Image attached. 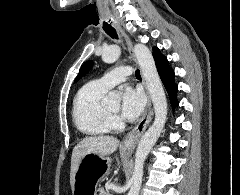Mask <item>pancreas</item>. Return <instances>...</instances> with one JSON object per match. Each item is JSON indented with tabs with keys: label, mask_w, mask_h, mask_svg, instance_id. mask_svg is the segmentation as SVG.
Instances as JSON below:
<instances>
[{
	"label": "pancreas",
	"mask_w": 240,
	"mask_h": 195,
	"mask_svg": "<svg viewBox=\"0 0 240 195\" xmlns=\"http://www.w3.org/2000/svg\"><path fill=\"white\" fill-rule=\"evenodd\" d=\"M99 191V195H109L108 191H105L104 187H100Z\"/></svg>",
	"instance_id": "1"
}]
</instances>
